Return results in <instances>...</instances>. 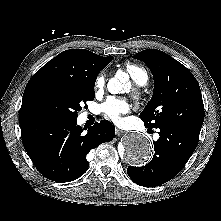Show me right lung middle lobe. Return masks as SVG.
I'll return each mask as SVG.
<instances>
[{
	"mask_svg": "<svg viewBox=\"0 0 221 221\" xmlns=\"http://www.w3.org/2000/svg\"><path fill=\"white\" fill-rule=\"evenodd\" d=\"M94 84H50L38 89L27 101V117L77 119L83 103L95 97Z\"/></svg>",
	"mask_w": 221,
	"mask_h": 221,
	"instance_id": "obj_1",
	"label": "right lung middle lobe"
}]
</instances>
